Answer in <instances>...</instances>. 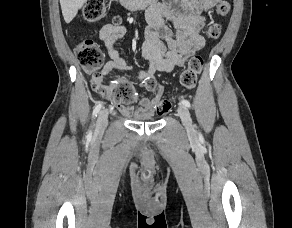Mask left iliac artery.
Returning a JSON list of instances; mask_svg holds the SVG:
<instances>
[{
    "instance_id": "1",
    "label": "left iliac artery",
    "mask_w": 292,
    "mask_h": 228,
    "mask_svg": "<svg viewBox=\"0 0 292 228\" xmlns=\"http://www.w3.org/2000/svg\"><path fill=\"white\" fill-rule=\"evenodd\" d=\"M181 104L184 105V106H186V107H188V108L191 107L190 102L188 100H185V99L181 101Z\"/></svg>"
}]
</instances>
